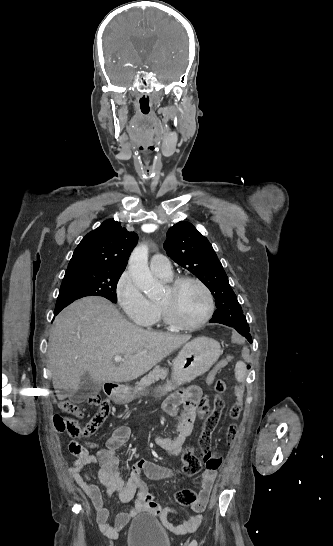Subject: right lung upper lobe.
Instances as JSON below:
<instances>
[{"label":"right lung upper lobe","instance_id":"obj_1","mask_svg":"<svg viewBox=\"0 0 333 546\" xmlns=\"http://www.w3.org/2000/svg\"><path fill=\"white\" fill-rule=\"evenodd\" d=\"M137 242L135 232L127 231L117 221L106 220L82 239L65 274L90 273L101 269L125 270Z\"/></svg>","mask_w":333,"mask_h":546}]
</instances>
